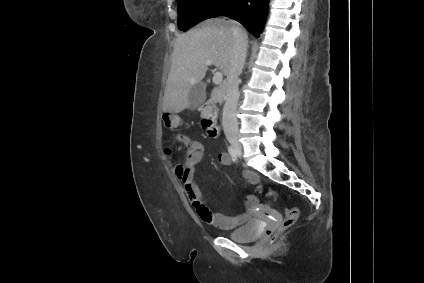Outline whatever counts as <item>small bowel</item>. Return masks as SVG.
<instances>
[{"instance_id": "c3829d8e", "label": "small bowel", "mask_w": 424, "mask_h": 283, "mask_svg": "<svg viewBox=\"0 0 424 283\" xmlns=\"http://www.w3.org/2000/svg\"><path fill=\"white\" fill-rule=\"evenodd\" d=\"M176 141L180 144L184 151V162L175 167V175L182 183L186 196L191 205L196 210L198 216L204 222L221 229H233L243 224L249 217L248 212L238 215H224L211 211L203 199L201 192L196 184L197 166L201 162L204 153L203 144L200 141L192 140L189 136L180 134L176 137ZM220 164L228 166L231 164V157L221 152L218 155ZM244 178L252 183L258 184L259 178L252 171H244ZM247 207H252V200H247Z\"/></svg>"}]
</instances>
